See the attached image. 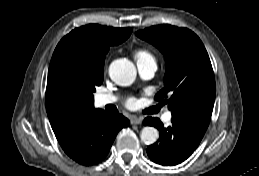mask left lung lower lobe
I'll use <instances>...</instances> for the list:
<instances>
[{
    "label": "left lung lower lobe",
    "instance_id": "0a47b994",
    "mask_svg": "<svg viewBox=\"0 0 259 176\" xmlns=\"http://www.w3.org/2000/svg\"><path fill=\"white\" fill-rule=\"evenodd\" d=\"M172 125L164 127L158 118H146L143 123L156 127L159 141L147 148L149 158L164 166H173L186 160L198 147L207 127L198 122L172 116Z\"/></svg>",
    "mask_w": 259,
    "mask_h": 176
}]
</instances>
